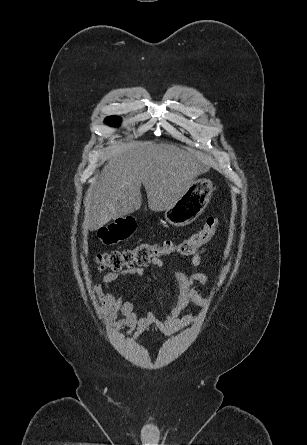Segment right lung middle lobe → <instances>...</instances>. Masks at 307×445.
Instances as JSON below:
<instances>
[{"mask_svg": "<svg viewBox=\"0 0 307 445\" xmlns=\"http://www.w3.org/2000/svg\"><path fill=\"white\" fill-rule=\"evenodd\" d=\"M121 122V119L118 116H110L105 119V123L110 126H117Z\"/></svg>", "mask_w": 307, "mask_h": 445, "instance_id": "obj_1", "label": "right lung middle lobe"}]
</instances>
